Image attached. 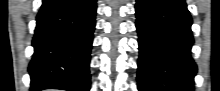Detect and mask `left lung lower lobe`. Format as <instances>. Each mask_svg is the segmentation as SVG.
<instances>
[{
    "label": "left lung lower lobe",
    "instance_id": "left-lung-lower-lobe-1",
    "mask_svg": "<svg viewBox=\"0 0 220 91\" xmlns=\"http://www.w3.org/2000/svg\"><path fill=\"white\" fill-rule=\"evenodd\" d=\"M138 90L193 91L192 18L184 0H136Z\"/></svg>",
    "mask_w": 220,
    "mask_h": 91
}]
</instances>
